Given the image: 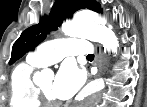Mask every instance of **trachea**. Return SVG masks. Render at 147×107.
Here are the masks:
<instances>
[{
	"label": "trachea",
	"mask_w": 147,
	"mask_h": 107,
	"mask_svg": "<svg viewBox=\"0 0 147 107\" xmlns=\"http://www.w3.org/2000/svg\"><path fill=\"white\" fill-rule=\"evenodd\" d=\"M87 58L94 59V54H88Z\"/></svg>",
	"instance_id": "3493384b"
}]
</instances>
